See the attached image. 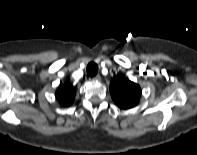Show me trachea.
<instances>
[{
    "label": "trachea",
    "instance_id": "obj_1",
    "mask_svg": "<svg viewBox=\"0 0 197 155\" xmlns=\"http://www.w3.org/2000/svg\"><path fill=\"white\" fill-rule=\"evenodd\" d=\"M98 73V66L94 62H91L87 66V74L90 77H94Z\"/></svg>",
    "mask_w": 197,
    "mask_h": 155
}]
</instances>
